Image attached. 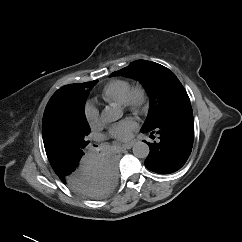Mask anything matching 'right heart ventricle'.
I'll list each match as a JSON object with an SVG mask.
<instances>
[{
	"label": "right heart ventricle",
	"instance_id": "right-heart-ventricle-1",
	"mask_svg": "<svg viewBox=\"0 0 242 242\" xmlns=\"http://www.w3.org/2000/svg\"><path fill=\"white\" fill-rule=\"evenodd\" d=\"M131 84L124 79H116L105 85L101 92V97L109 103L122 104Z\"/></svg>",
	"mask_w": 242,
	"mask_h": 242
}]
</instances>
